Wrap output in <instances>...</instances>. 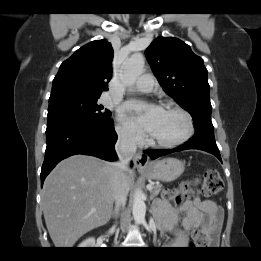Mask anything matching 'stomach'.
<instances>
[{
	"instance_id": "obj_1",
	"label": "stomach",
	"mask_w": 261,
	"mask_h": 261,
	"mask_svg": "<svg viewBox=\"0 0 261 261\" xmlns=\"http://www.w3.org/2000/svg\"><path fill=\"white\" fill-rule=\"evenodd\" d=\"M184 163L176 158H164L152 162L142 172L149 178L170 182L177 179L183 172Z\"/></svg>"
}]
</instances>
